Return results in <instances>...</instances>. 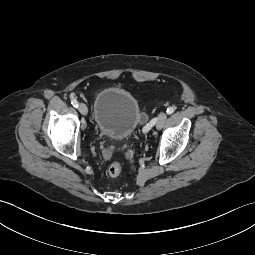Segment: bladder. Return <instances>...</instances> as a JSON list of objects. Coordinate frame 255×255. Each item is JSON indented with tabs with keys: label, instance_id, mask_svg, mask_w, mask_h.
Segmentation results:
<instances>
[{
	"label": "bladder",
	"instance_id": "bladder-1",
	"mask_svg": "<svg viewBox=\"0 0 255 255\" xmlns=\"http://www.w3.org/2000/svg\"><path fill=\"white\" fill-rule=\"evenodd\" d=\"M93 118L97 130L112 139H124L132 135L142 123L140 105L128 90L109 86L96 96Z\"/></svg>",
	"mask_w": 255,
	"mask_h": 255
}]
</instances>
